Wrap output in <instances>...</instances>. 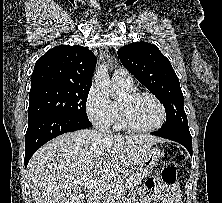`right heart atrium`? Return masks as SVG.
<instances>
[{
    "label": "right heart atrium",
    "instance_id": "right-heart-atrium-1",
    "mask_svg": "<svg viewBox=\"0 0 222 203\" xmlns=\"http://www.w3.org/2000/svg\"><path fill=\"white\" fill-rule=\"evenodd\" d=\"M86 113L94 126L107 130L114 120V103L96 86H92L86 98Z\"/></svg>",
    "mask_w": 222,
    "mask_h": 203
}]
</instances>
